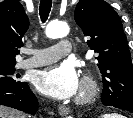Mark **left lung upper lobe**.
I'll return each instance as SVG.
<instances>
[{
    "label": "left lung upper lobe",
    "mask_w": 133,
    "mask_h": 118,
    "mask_svg": "<svg viewBox=\"0 0 133 118\" xmlns=\"http://www.w3.org/2000/svg\"><path fill=\"white\" fill-rule=\"evenodd\" d=\"M74 17L97 53L102 103L133 113V65L118 14L104 0H79Z\"/></svg>",
    "instance_id": "5c2ea615"
}]
</instances>
